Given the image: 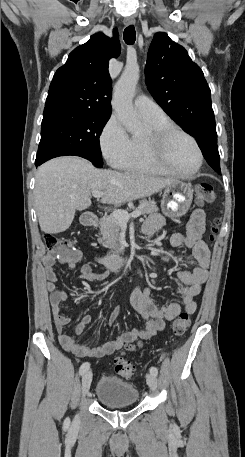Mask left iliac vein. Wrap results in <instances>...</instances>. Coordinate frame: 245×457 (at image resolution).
<instances>
[{"mask_svg":"<svg viewBox=\"0 0 245 457\" xmlns=\"http://www.w3.org/2000/svg\"><path fill=\"white\" fill-rule=\"evenodd\" d=\"M147 382H148V385H149V388L151 389V391H156L157 389V377L156 375L152 374V373H149L147 374Z\"/></svg>","mask_w":245,"mask_h":457,"instance_id":"obj_1","label":"left iliac vein"}]
</instances>
